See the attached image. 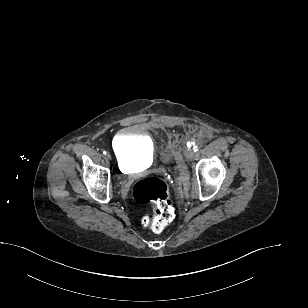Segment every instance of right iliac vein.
<instances>
[{"label": "right iliac vein", "mask_w": 308, "mask_h": 308, "mask_svg": "<svg viewBox=\"0 0 308 308\" xmlns=\"http://www.w3.org/2000/svg\"><path fill=\"white\" fill-rule=\"evenodd\" d=\"M106 157H107V159H111L110 153H107V154H106Z\"/></svg>", "instance_id": "right-iliac-vein-1"}]
</instances>
